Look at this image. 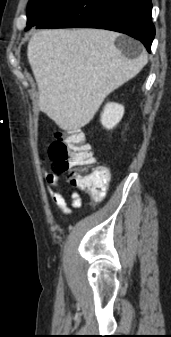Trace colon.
<instances>
[{"label":"colon","instance_id":"5ec220e1","mask_svg":"<svg viewBox=\"0 0 171 337\" xmlns=\"http://www.w3.org/2000/svg\"><path fill=\"white\" fill-rule=\"evenodd\" d=\"M48 152L54 169L69 172L68 180L73 186L89 191L93 201H101L105 197L109 171L102 165L88 168L96 162V157L81 130L56 132Z\"/></svg>","mask_w":171,"mask_h":337}]
</instances>
